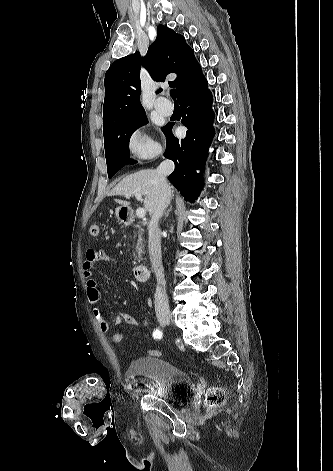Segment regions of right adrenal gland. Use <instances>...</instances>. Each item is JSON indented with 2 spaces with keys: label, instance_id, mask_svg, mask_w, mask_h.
I'll list each match as a JSON object with an SVG mask.
<instances>
[{
  "label": "right adrenal gland",
  "instance_id": "1",
  "mask_svg": "<svg viewBox=\"0 0 333 471\" xmlns=\"http://www.w3.org/2000/svg\"><path fill=\"white\" fill-rule=\"evenodd\" d=\"M172 210V207L170 206V208L166 211L165 213V218H167L169 216V212Z\"/></svg>",
  "mask_w": 333,
  "mask_h": 471
}]
</instances>
